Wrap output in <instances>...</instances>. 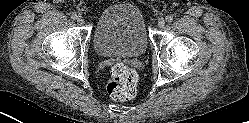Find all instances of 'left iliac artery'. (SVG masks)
Instances as JSON below:
<instances>
[{
    "mask_svg": "<svg viewBox=\"0 0 249 123\" xmlns=\"http://www.w3.org/2000/svg\"><path fill=\"white\" fill-rule=\"evenodd\" d=\"M173 21V16L172 15H167L166 16V22L171 23Z\"/></svg>",
    "mask_w": 249,
    "mask_h": 123,
    "instance_id": "left-iliac-artery-1",
    "label": "left iliac artery"
}]
</instances>
